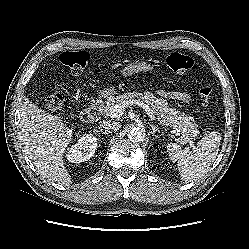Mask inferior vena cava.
Instances as JSON below:
<instances>
[{
    "mask_svg": "<svg viewBox=\"0 0 249 249\" xmlns=\"http://www.w3.org/2000/svg\"><path fill=\"white\" fill-rule=\"evenodd\" d=\"M100 127L108 130L117 131L121 128V124L116 121H102L100 122Z\"/></svg>",
    "mask_w": 249,
    "mask_h": 249,
    "instance_id": "obj_1",
    "label": "inferior vena cava"
}]
</instances>
